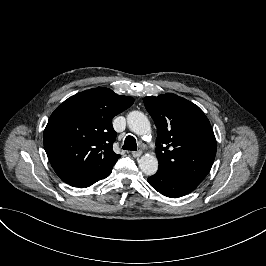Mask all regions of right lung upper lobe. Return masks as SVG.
Returning a JSON list of instances; mask_svg holds the SVG:
<instances>
[{"label":"right lung upper lobe","instance_id":"cb5924a9","mask_svg":"<svg viewBox=\"0 0 266 266\" xmlns=\"http://www.w3.org/2000/svg\"><path fill=\"white\" fill-rule=\"evenodd\" d=\"M134 99L108 88L78 93L52 113L44 130V148L57 175L74 187H88L106 178L120 158L112 150L114 116Z\"/></svg>","mask_w":266,"mask_h":266}]
</instances>
